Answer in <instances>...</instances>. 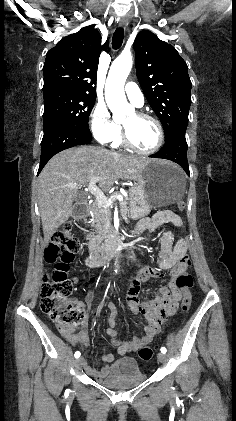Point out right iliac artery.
<instances>
[{"instance_id":"82829eb1","label":"right iliac artery","mask_w":236,"mask_h":421,"mask_svg":"<svg viewBox=\"0 0 236 421\" xmlns=\"http://www.w3.org/2000/svg\"><path fill=\"white\" fill-rule=\"evenodd\" d=\"M80 355H81V353L79 351L75 352V354H74L75 358H79Z\"/></svg>"}]
</instances>
